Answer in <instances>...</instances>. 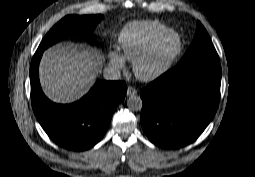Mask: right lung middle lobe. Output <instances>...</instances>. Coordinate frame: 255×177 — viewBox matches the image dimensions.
Segmentation results:
<instances>
[{"instance_id":"1","label":"right lung middle lobe","mask_w":255,"mask_h":177,"mask_svg":"<svg viewBox=\"0 0 255 177\" xmlns=\"http://www.w3.org/2000/svg\"><path fill=\"white\" fill-rule=\"evenodd\" d=\"M102 15H68L58 22L44 37L38 51H44L52 44L75 33L89 36V33L102 20Z\"/></svg>"}]
</instances>
